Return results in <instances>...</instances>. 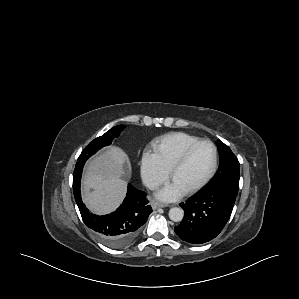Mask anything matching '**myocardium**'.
I'll list each match as a JSON object with an SVG mask.
<instances>
[{"label": "myocardium", "instance_id": "1", "mask_svg": "<svg viewBox=\"0 0 299 299\" xmlns=\"http://www.w3.org/2000/svg\"><path fill=\"white\" fill-rule=\"evenodd\" d=\"M202 144H210L212 146V148H213V151H214V161H213L212 168H211L210 172L207 174V176L203 180H201L196 185L190 187L189 189L185 190L184 191L185 194H192V193L200 190L201 188H203L206 184L209 183V181L213 178V176L215 175V173L217 171V168H218V159H219L217 146L211 140L203 139V140H199V141L193 143L192 145H190L188 148L185 149V151L181 154V156L177 159V161L171 167V169L169 171L170 179L173 181V178H174L176 172L181 167L184 166V164L187 162L188 158L190 157L191 153L198 146H200Z\"/></svg>", "mask_w": 299, "mask_h": 299}]
</instances>
